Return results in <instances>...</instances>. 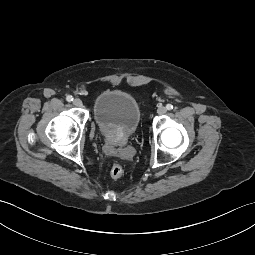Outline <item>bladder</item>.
Masks as SVG:
<instances>
[{
  "label": "bladder",
  "mask_w": 255,
  "mask_h": 255,
  "mask_svg": "<svg viewBox=\"0 0 255 255\" xmlns=\"http://www.w3.org/2000/svg\"><path fill=\"white\" fill-rule=\"evenodd\" d=\"M93 117L103 134L130 136L140 124L141 108L131 94L111 90L96 97L93 103Z\"/></svg>",
  "instance_id": "1"
}]
</instances>
